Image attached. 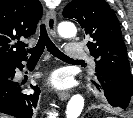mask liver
Returning <instances> with one entry per match:
<instances>
[{
    "mask_svg": "<svg viewBox=\"0 0 133 118\" xmlns=\"http://www.w3.org/2000/svg\"><path fill=\"white\" fill-rule=\"evenodd\" d=\"M0 118H8V116L4 114H0Z\"/></svg>",
    "mask_w": 133,
    "mask_h": 118,
    "instance_id": "6515ba94",
    "label": "liver"
}]
</instances>
